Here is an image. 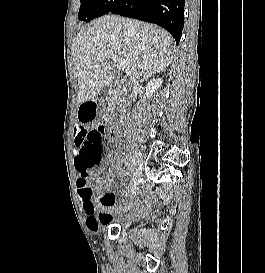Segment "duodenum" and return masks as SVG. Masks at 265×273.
Returning a JSON list of instances; mask_svg holds the SVG:
<instances>
[{"mask_svg":"<svg viewBox=\"0 0 265 273\" xmlns=\"http://www.w3.org/2000/svg\"><path fill=\"white\" fill-rule=\"evenodd\" d=\"M111 92H112L111 101L117 102L119 100V97L114 94L115 93L114 90H112ZM102 99H104V97H102Z\"/></svg>","mask_w":265,"mask_h":273,"instance_id":"410a0bca","label":"duodenum"}]
</instances>
